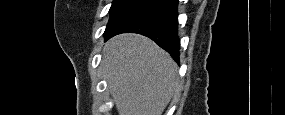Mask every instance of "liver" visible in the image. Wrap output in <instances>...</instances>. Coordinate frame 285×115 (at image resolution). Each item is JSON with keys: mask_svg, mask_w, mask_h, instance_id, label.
Returning a JSON list of instances; mask_svg holds the SVG:
<instances>
[{"mask_svg": "<svg viewBox=\"0 0 285 115\" xmlns=\"http://www.w3.org/2000/svg\"><path fill=\"white\" fill-rule=\"evenodd\" d=\"M101 66L119 115H162L178 83L170 55L138 34L110 39Z\"/></svg>", "mask_w": 285, "mask_h": 115, "instance_id": "1", "label": "liver"}]
</instances>
